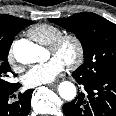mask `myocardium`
<instances>
[{"mask_svg": "<svg viewBox=\"0 0 116 116\" xmlns=\"http://www.w3.org/2000/svg\"><path fill=\"white\" fill-rule=\"evenodd\" d=\"M68 43L73 45L74 55L66 61V64L73 68L78 67L84 60L85 48L82 40L77 35L73 33L62 34L52 44H50V50L53 53H58Z\"/></svg>", "mask_w": 116, "mask_h": 116, "instance_id": "f54148a6", "label": "myocardium"}]
</instances>
